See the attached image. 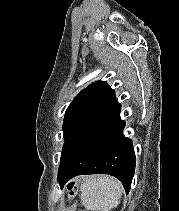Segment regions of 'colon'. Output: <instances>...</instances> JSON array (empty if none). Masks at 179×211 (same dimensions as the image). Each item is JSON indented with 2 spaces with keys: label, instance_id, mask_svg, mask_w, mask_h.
<instances>
[{
  "label": "colon",
  "instance_id": "colon-1",
  "mask_svg": "<svg viewBox=\"0 0 179 211\" xmlns=\"http://www.w3.org/2000/svg\"><path fill=\"white\" fill-rule=\"evenodd\" d=\"M76 189H77L76 185L74 184V182H72V183L70 184V186H69V190H70V195H71V196H74V194H75V192H76Z\"/></svg>",
  "mask_w": 179,
  "mask_h": 211
}]
</instances>
